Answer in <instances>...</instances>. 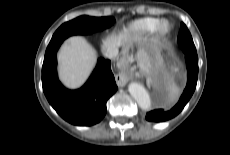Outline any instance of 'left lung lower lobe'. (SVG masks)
<instances>
[{"label":"left lung lower lobe","mask_w":230,"mask_h":155,"mask_svg":"<svg viewBox=\"0 0 230 155\" xmlns=\"http://www.w3.org/2000/svg\"><path fill=\"white\" fill-rule=\"evenodd\" d=\"M186 65H187V86L179 99V102L169 111L156 109L150 111L146 115V120L149 122H163L177 116L190 100L197 84L198 78V56L196 48L184 49Z\"/></svg>","instance_id":"1"}]
</instances>
